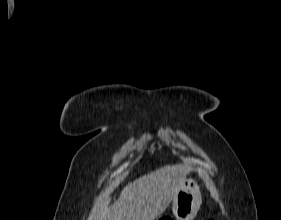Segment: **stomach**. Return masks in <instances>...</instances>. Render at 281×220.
<instances>
[{
	"mask_svg": "<svg viewBox=\"0 0 281 220\" xmlns=\"http://www.w3.org/2000/svg\"><path fill=\"white\" fill-rule=\"evenodd\" d=\"M201 203L199 186L193 179H185L173 198V215L176 220H193Z\"/></svg>",
	"mask_w": 281,
	"mask_h": 220,
	"instance_id": "obj_1",
	"label": "stomach"
}]
</instances>
